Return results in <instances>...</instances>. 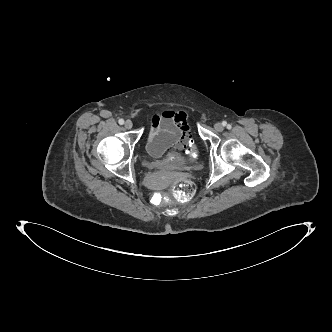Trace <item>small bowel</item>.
Returning <instances> with one entry per match:
<instances>
[{
    "label": "small bowel",
    "mask_w": 332,
    "mask_h": 332,
    "mask_svg": "<svg viewBox=\"0 0 332 332\" xmlns=\"http://www.w3.org/2000/svg\"><path fill=\"white\" fill-rule=\"evenodd\" d=\"M184 111L165 110L153 117L146 151L153 158L178 157L190 139Z\"/></svg>",
    "instance_id": "obj_1"
}]
</instances>
